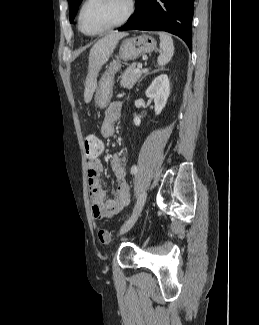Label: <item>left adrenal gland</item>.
I'll list each match as a JSON object with an SVG mask.
<instances>
[{
    "instance_id": "left-adrenal-gland-1",
    "label": "left adrenal gland",
    "mask_w": 259,
    "mask_h": 325,
    "mask_svg": "<svg viewBox=\"0 0 259 325\" xmlns=\"http://www.w3.org/2000/svg\"><path fill=\"white\" fill-rule=\"evenodd\" d=\"M157 71H159V69H158V70H154V71L151 72V73H155V72H157ZM151 73H147V74H145V75L141 78V80L144 79L147 75H149V74H151ZM141 80H140V81H141Z\"/></svg>"
}]
</instances>
